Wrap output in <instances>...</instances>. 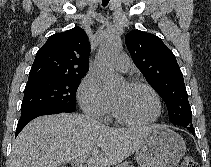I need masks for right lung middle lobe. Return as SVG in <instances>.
<instances>
[{
  "mask_svg": "<svg viewBox=\"0 0 211 167\" xmlns=\"http://www.w3.org/2000/svg\"><path fill=\"white\" fill-rule=\"evenodd\" d=\"M81 77L43 78L28 81L21 105V116L49 109L75 110V96Z\"/></svg>",
  "mask_w": 211,
  "mask_h": 167,
  "instance_id": "right-lung-middle-lobe-1",
  "label": "right lung middle lobe"
}]
</instances>
